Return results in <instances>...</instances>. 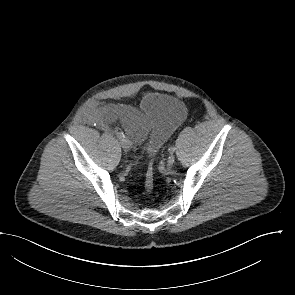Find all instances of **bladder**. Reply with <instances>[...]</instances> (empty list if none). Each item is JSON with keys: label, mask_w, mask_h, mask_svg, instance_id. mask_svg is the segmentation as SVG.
<instances>
[{"label": "bladder", "mask_w": 295, "mask_h": 295, "mask_svg": "<svg viewBox=\"0 0 295 295\" xmlns=\"http://www.w3.org/2000/svg\"><path fill=\"white\" fill-rule=\"evenodd\" d=\"M140 113L151 122L150 138L145 143V153L154 156L172 131L184 121L187 110L182 101L170 94L150 93L142 100Z\"/></svg>", "instance_id": "obj_1"}]
</instances>
